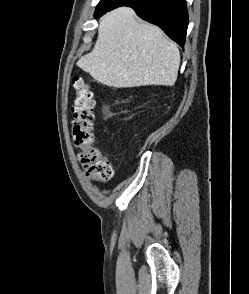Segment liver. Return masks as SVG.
<instances>
[{
	"label": "liver",
	"mask_w": 249,
	"mask_h": 294,
	"mask_svg": "<svg viewBox=\"0 0 249 294\" xmlns=\"http://www.w3.org/2000/svg\"><path fill=\"white\" fill-rule=\"evenodd\" d=\"M78 66L110 87L172 86L180 52L161 29L138 21L133 9L121 7L101 18L95 46Z\"/></svg>",
	"instance_id": "1"
}]
</instances>
